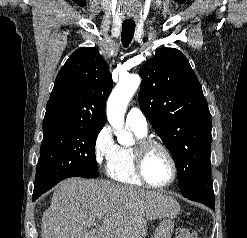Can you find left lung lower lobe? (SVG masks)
Segmentation results:
<instances>
[{
  "instance_id": "1",
  "label": "left lung lower lobe",
  "mask_w": 247,
  "mask_h": 238,
  "mask_svg": "<svg viewBox=\"0 0 247 238\" xmlns=\"http://www.w3.org/2000/svg\"><path fill=\"white\" fill-rule=\"evenodd\" d=\"M214 204H215V202H213V209H214Z\"/></svg>"
}]
</instances>
